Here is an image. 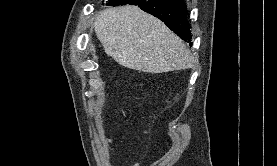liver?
Instances as JSON below:
<instances>
[{
	"label": "liver",
	"mask_w": 277,
	"mask_h": 166,
	"mask_svg": "<svg viewBox=\"0 0 277 166\" xmlns=\"http://www.w3.org/2000/svg\"><path fill=\"white\" fill-rule=\"evenodd\" d=\"M93 26L105 52L123 67L163 73L193 64L184 42L163 22L136 6L103 10Z\"/></svg>",
	"instance_id": "6515ba94"
}]
</instances>
